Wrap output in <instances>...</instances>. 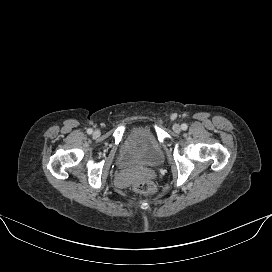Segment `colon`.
Returning a JSON list of instances; mask_svg holds the SVG:
<instances>
[{
	"mask_svg": "<svg viewBox=\"0 0 272 272\" xmlns=\"http://www.w3.org/2000/svg\"><path fill=\"white\" fill-rule=\"evenodd\" d=\"M133 189L146 196H151L156 192V187L152 182L140 181L133 185Z\"/></svg>",
	"mask_w": 272,
	"mask_h": 272,
	"instance_id": "obj_1",
	"label": "colon"
}]
</instances>
